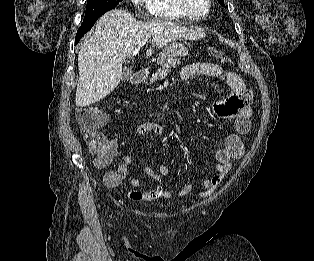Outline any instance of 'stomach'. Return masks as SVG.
<instances>
[{"instance_id": "0dacf381", "label": "stomach", "mask_w": 314, "mask_h": 261, "mask_svg": "<svg viewBox=\"0 0 314 261\" xmlns=\"http://www.w3.org/2000/svg\"><path fill=\"white\" fill-rule=\"evenodd\" d=\"M189 47L186 42L173 41L168 44L159 55V61L162 62L168 57H182L188 54Z\"/></svg>"}]
</instances>
